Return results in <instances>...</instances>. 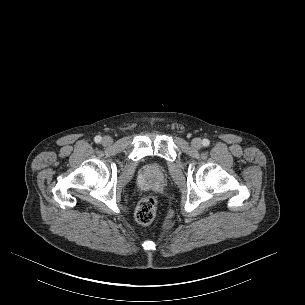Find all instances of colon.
Here are the masks:
<instances>
[{"label": "colon", "instance_id": "5ec220e1", "mask_svg": "<svg viewBox=\"0 0 305 305\" xmlns=\"http://www.w3.org/2000/svg\"><path fill=\"white\" fill-rule=\"evenodd\" d=\"M157 199L153 195L142 197L135 210L136 220L143 225L151 224L156 216Z\"/></svg>", "mask_w": 305, "mask_h": 305}]
</instances>
